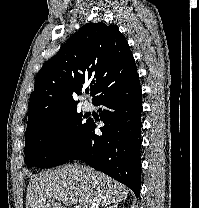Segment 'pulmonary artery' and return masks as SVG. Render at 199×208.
Returning <instances> with one entry per match:
<instances>
[{
    "instance_id": "1",
    "label": "pulmonary artery",
    "mask_w": 199,
    "mask_h": 208,
    "mask_svg": "<svg viewBox=\"0 0 199 208\" xmlns=\"http://www.w3.org/2000/svg\"><path fill=\"white\" fill-rule=\"evenodd\" d=\"M82 106H83V109L86 110V111L91 110L92 107H93L92 104L88 101H84Z\"/></svg>"
}]
</instances>
